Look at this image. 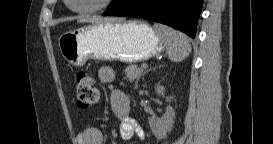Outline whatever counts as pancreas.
<instances>
[{"label":"pancreas","mask_w":273,"mask_h":144,"mask_svg":"<svg viewBox=\"0 0 273 144\" xmlns=\"http://www.w3.org/2000/svg\"><path fill=\"white\" fill-rule=\"evenodd\" d=\"M143 67H139L138 65H129L125 68L126 77L125 79L129 81H134L135 79H139L143 73Z\"/></svg>","instance_id":"pancreas-1"}]
</instances>
